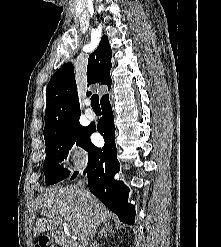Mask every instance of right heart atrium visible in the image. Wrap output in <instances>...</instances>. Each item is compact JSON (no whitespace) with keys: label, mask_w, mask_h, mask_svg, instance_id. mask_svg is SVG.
<instances>
[{"label":"right heart atrium","mask_w":221,"mask_h":247,"mask_svg":"<svg viewBox=\"0 0 221 247\" xmlns=\"http://www.w3.org/2000/svg\"><path fill=\"white\" fill-rule=\"evenodd\" d=\"M66 161L74 169L83 167L86 161V151L75 141L71 142L66 149Z\"/></svg>","instance_id":"1"}]
</instances>
